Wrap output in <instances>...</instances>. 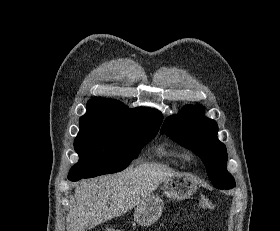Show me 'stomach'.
<instances>
[{
	"instance_id": "obj_1",
	"label": "stomach",
	"mask_w": 280,
	"mask_h": 231,
	"mask_svg": "<svg viewBox=\"0 0 280 231\" xmlns=\"http://www.w3.org/2000/svg\"><path fill=\"white\" fill-rule=\"evenodd\" d=\"M198 181L190 173H177L165 179L161 189L166 197L171 199H187L197 191ZM164 201L159 195H148L144 201L138 203L134 211V221L139 225H151L159 219Z\"/></svg>"
}]
</instances>
